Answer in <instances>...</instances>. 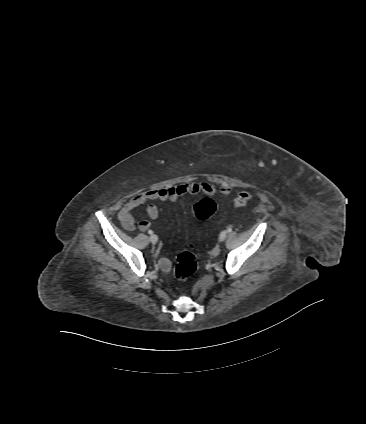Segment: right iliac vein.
I'll return each instance as SVG.
<instances>
[{
    "label": "right iliac vein",
    "instance_id": "1",
    "mask_svg": "<svg viewBox=\"0 0 366 424\" xmlns=\"http://www.w3.org/2000/svg\"><path fill=\"white\" fill-rule=\"evenodd\" d=\"M157 241H158V237L155 234H153V235L150 236V242L152 244H156Z\"/></svg>",
    "mask_w": 366,
    "mask_h": 424
}]
</instances>
